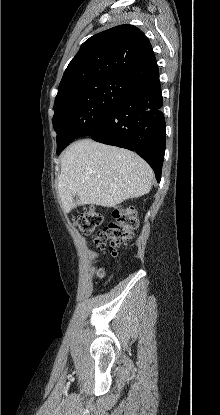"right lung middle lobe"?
I'll return each mask as SVG.
<instances>
[{
	"mask_svg": "<svg viewBox=\"0 0 220 415\" xmlns=\"http://www.w3.org/2000/svg\"><path fill=\"white\" fill-rule=\"evenodd\" d=\"M134 89L116 78L80 82L59 92L54 103L53 127L60 152L76 138L97 131L109 110Z\"/></svg>",
	"mask_w": 220,
	"mask_h": 415,
	"instance_id": "dd1d6c3e",
	"label": "right lung middle lobe"
}]
</instances>
